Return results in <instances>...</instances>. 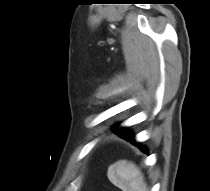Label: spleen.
<instances>
[{
	"mask_svg": "<svg viewBox=\"0 0 210 191\" xmlns=\"http://www.w3.org/2000/svg\"><path fill=\"white\" fill-rule=\"evenodd\" d=\"M107 176L113 185L123 191H148L141 171L132 162H116L109 166Z\"/></svg>",
	"mask_w": 210,
	"mask_h": 191,
	"instance_id": "spleen-1",
	"label": "spleen"
}]
</instances>
